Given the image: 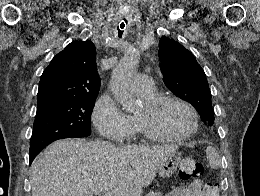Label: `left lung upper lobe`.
I'll return each mask as SVG.
<instances>
[{
    "label": "left lung upper lobe",
    "instance_id": "obj_1",
    "mask_svg": "<svg viewBox=\"0 0 260 196\" xmlns=\"http://www.w3.org/2000/svg\"><path fill=\"white\" fill-rule=\"evenodd\" d=\"M159 47L165 85L173 94L191 103L201 118L213 125L210 89L206 75L193 54L165 36L160 39Z\"/></svg>",
    "mask_w": 260,
    "mask_h": 196
}]
</instances>
